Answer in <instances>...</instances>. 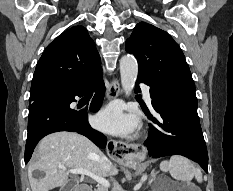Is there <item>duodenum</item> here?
<instances>
[{
    "instance_id": "duodenum-1",
    "label": "duodenum",
    "mask_w": 233,
    "mask_h": 191,
    "mask_svg": "<svg viewBox=\"0 0 233 191\" xmlns=\"http://www.w3.org/2000/svg\"><path fill=\"white\" fill-rule=\"evenodd\" d=\"M75 191H91V190L89 189L88 186L81 185V186H78V187L75 189Z\"/></svg>"
}]
</instances>
